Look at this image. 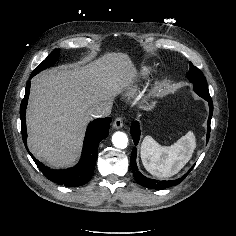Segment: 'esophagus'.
I'll list each match as a JSON object with an SVG mask.
<instances>
[{"label":"esophagus","mask_w":236,"mask_h":236,"mask_svg":"<svg viewBox=\"0 0 236 236\" xmlns=\"http://www.w3.org/2000/svg\"><path fill=\"white\" fill-rule=\"evenodd\" d=\"M113 127L115 129H120L123 127V120L121 117H117L113 122Z\"/></svg>","instance_id":"obj_1"}]
</instances>
